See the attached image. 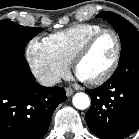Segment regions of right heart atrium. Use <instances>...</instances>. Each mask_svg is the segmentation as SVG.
<instances>
[{
    "mask_svg": "<svg viewBox=\"0 0 139 139\" xmlns=\"http://www.w3.org/2000/svg\"><path fill=\"white\" fill-rule=\"evenodd\" d=\"M26 60L34 76L46 86L57 83L69 68V62L59 56L45 39L35 38L28 43Z\"/></svg>",
    "mask_w": 139,
    "mask_h": 139,
    "instance_id": "obj_1",
    "label": "right heart atrium"
}]
</instances>
